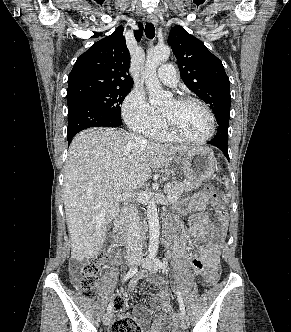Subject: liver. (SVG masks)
<instances>
[{
  "label": "liver",
  "instance_id": "6515ba94",
  "mask_svg": "<svg viewBox=\"0 0 291 332\" xmlns=\"http://www.w3.org/2000/svg\"><path fill=\"white\" fill-rule=\"evenodd\" d=\"M116 128H89L72 140L64 169L63 202L71 257L95 258L119 196L142 187L154 170L167 169L187 146L139 142ZM195 148V147H194Z\"/></svg>",
  "mask_w": 291,
  "mask_h": 332
}]
</instances>
